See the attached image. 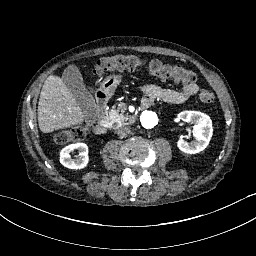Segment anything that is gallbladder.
Returning <instances> with one entry per match:
<instances>
[{
  "instance_id": "1",
  "label": "gallbladder",
  "mask_w": 256,
  "mask_h": 256,
  "mask_svg": "<svg viewBox=\"0 0 256 256\" xmlns=\"http://www.w3.org/2000/svg\"><path fill=\"white\" fill-rule=\"evenodd\" d=\"M62 81L73 93L84 113L86 120H96V103L85 87L79 67L75 64L67 65L62 73Z\"/></svg>"
}]
</instances>
